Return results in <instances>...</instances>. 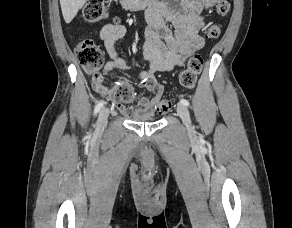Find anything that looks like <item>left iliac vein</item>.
Here are the masks:
<instances>
[{"label":"left iliac vein","instance_id":"4c4485c4","mask_svg":"<svg viewBox=\"0 0 292 228\" xmlns=\"http://www.w3.org/2000/svg\"><path fill=\"white\" fill-rule=\"evenodd\" d=\"M176 110L188 131L193 132V126L191 123L190 114L187 107L183 104H178Z\"/></svg>","mask_w":292,"mask_h":228}]
</instances>
